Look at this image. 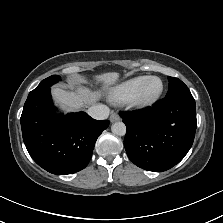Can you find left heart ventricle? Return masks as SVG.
<instances>
[{
	"mask_svg": "<svg viewBox=\"0 0 223 223\" xmlns=\"http://www.w3.org/2000/svg\"><path fill=\"white\" fill-rule=\"evenodd\" d=\"M158 88H159V81L156 79H152L145 82L142 86L141 97L149 98L158 90Z\"/></svg>",
	"mask_w": 223,
	"mask_h": 223,
	"instance_id": "obj_1",
	"label": "left heart ventricle"
}]
</instances>
